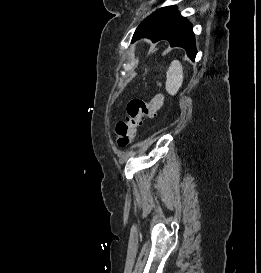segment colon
<instances>
[{"label": "colon", "mask_w": 261, "mask_h": 273, "mask_svg": "<svg viewBox=\"0 0 261 273\" xmlns=\"http://www.w3.org/2000/svg\"><path fill=\"white\" fill-rule=\"evenodd\" d=\"M164 104V95L157 93L150 101L131 99L127 104V117L115 126L117 144L125 148L134 139L145 119H153Z\"/></svg>", "instance_id": "colon-1"}]
</instances>
